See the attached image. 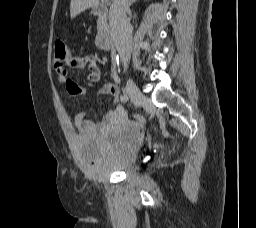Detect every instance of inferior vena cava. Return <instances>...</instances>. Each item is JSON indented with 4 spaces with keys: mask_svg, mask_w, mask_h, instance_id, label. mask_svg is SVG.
Masks as SVG:
<instances>
[{
    "mask_svg": "<svg viewBox=\"0 0 256 228\" xmlns=\"http://www.w3.org/2000/svg\"><path fill=\"white\" fill-rule=\"evenodd\" d=\"M134 0H114L110 7L109 23L111 35L126 70L131 57L132 27L126 17Z\"/></svg>",
    "mask_w": 256,
    "mask_h": 228,
    "instance_id": "inferior-vena-cava-1",
    "label": "inferior vena cava"
}]
</instances>
